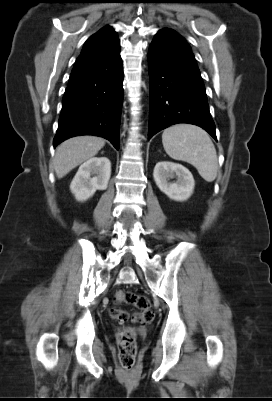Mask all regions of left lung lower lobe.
<instances>
[{"label": "left lung lower lobe", "mask_w": 272, "mask_h": 401, "mask_svg": "<svg viewBox=\"0 0 272 401\" xmlns=\"http://www.w3.org/2000/svg\"><path fill=\"white\" fill-rule=\"evenodd\" d=\"M148 65V139L170 125L189 123L205 129L217 141L205 86L190 46L162 29L150 45Z\"/></svg>", "instance_id": "left-lung-lower-lobe-1"}]
</instances>
